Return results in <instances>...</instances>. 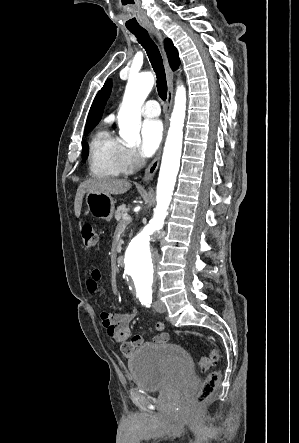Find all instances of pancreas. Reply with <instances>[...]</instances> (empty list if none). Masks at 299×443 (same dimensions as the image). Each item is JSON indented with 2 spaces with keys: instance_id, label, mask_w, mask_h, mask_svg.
<instances>
[{
  "instance_id": "1",
  "label": "pancreas",
  "mask_w": 299,
  "mask_h": 443,
  "mask_svg": "<svg viewBox=\"0 0 299 443\" xmlns=\"http://www.w3.org/2000/svg\"><path fill=\"white\" fill-rule=\"evenodd\" d=\"M128 211H129V208H128L125 204L119 206V207L117 208V210L115 211V218H116V220H117L118 222L129 223V221H125V220H123V215H124V214H127Z\"/></svg>"
}]
</instances>
